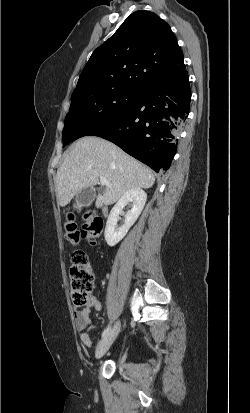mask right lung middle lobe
<instances>
[{"label": "right lung middle lobe", "instance_id": "1", "mask_svg": "<svg viewBox=\"0 0 250 413\" xmlns=\"http://www.w3.org/2000/svg\"><path fill=\"white\" fill-rule=\"evenodd\" d=\"M139 91L117 87L72 94L62 133L63 147L115 118L137 98Z\"/></svg>", "mask_w": 250, "mask_h": 413}]
</instances>
